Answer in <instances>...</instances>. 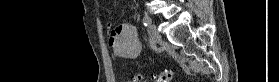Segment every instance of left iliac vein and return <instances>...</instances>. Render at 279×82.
I'll use <instances>...</instances> for the list:
<instances>
[{
	"mask_svg": "<svg viewBox=\"0 0 279 82\" xmlns=\"http://www.w3.org/2000/svg\"><path fill=\"white\" fill-rule=\"evenodd\" d=\"M149 35L154 42H158L161 39V35L154 24L148 26Z\"/></svg>",
	"mask_w": 279,
	"mask_h": 82,
	"instance_id": "4c4485c4",
	"label": "left iliac vein"
}]
</instances>
